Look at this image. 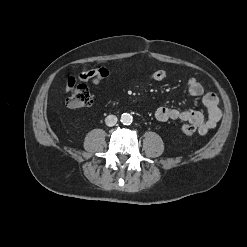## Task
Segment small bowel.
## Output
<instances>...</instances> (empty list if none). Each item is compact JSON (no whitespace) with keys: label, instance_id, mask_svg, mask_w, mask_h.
Returning <instances> with one entry per match:
<instances>
[{"label":"small bowel","instance_id":"1","mask_svg":"<svg viewBox=\"0 0 247 247\" xmlns=\"http://www.w3.org/2000/svg\"><path fill=\"white\" fill-rule=\"evenodd\" d=\"M101 73L104 79L110 76V71L106 68L93 69L80 72L76 77H71L68 80L67 90H70L75 85L76 81L87 82L96 74ZM167 77L165 70H157L150 74V79L153 81H163ZM188 92L191 96L203 95V103L207 108V116L195 110H182L172 107H159L154 112V116L159 121L179 120L187 122L198 129L199 134L206 135L211 129L215 128L222 118V110L219 105V98L215 93L208 92L204 94L202 84L195 78L188 81Z\"/></svg>","mask_w":247,"mask_h":247}]
</instances>
